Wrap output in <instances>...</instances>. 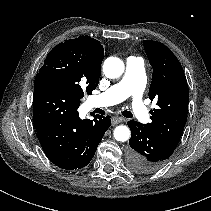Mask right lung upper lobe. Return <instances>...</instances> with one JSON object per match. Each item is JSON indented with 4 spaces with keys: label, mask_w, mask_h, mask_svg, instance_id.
I'll return each mask as SVG.
<instances>
[{
    "label": "right lung upper lobe",
    "mask_w": 211,
    "mask_h": 211,
    "mask_svg": "<svg viewBox=\"0 0 211 211\" xmlns=\"http://www.w3.org/2000/svg\"><path fill=\"white\" fill-rule=\"evenodd\" d=\"M65 43L72 49L87 71L99 80L101 63L104 58V49L100 42L89 36H80L67 40Z\"/></svg>",
    "instance_id": "obj_1"
}]
</instances>
